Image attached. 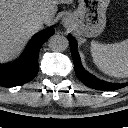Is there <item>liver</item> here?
<instances>
[{
    "label": "liver",
    "instance_id": "6515ba94",
    "mask_svg": "<svg viewBox=\"0 0 128 128\" xmlns=\"http://www.w3.org/2000/svg\"><path fill=\"white\" fill-rule=\"evenodd\" d=\"M74 0H0V62L17 55L42 27L38 15L46 9L51 24L58 4H71Z\"/></svg>",
    "mask_w": 128,
    "mask_h": 128
}]
</instances>
